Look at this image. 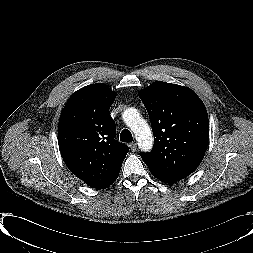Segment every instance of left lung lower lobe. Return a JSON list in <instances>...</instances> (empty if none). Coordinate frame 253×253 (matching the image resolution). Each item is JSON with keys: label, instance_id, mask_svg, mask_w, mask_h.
<instances>
[{"label": "left lung lower lobe", "instance_id": "obj_1", "mask_svg": "<svg viewBox=\"0 0 253 253\" xmlns=\"http://www.w3.org/2000/svg\"><path fill=\"white\" fill-rule=\"evenodd\" d=\"M152 174L160 181L165 182V183H169V184L175 183V182L187 177L184 175H170V174H161V173H152Z\"/></svg>", "mask_w": 253, "mask_h": 253}]
</instances>
